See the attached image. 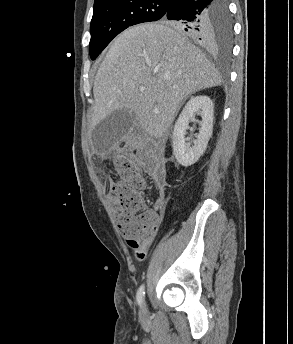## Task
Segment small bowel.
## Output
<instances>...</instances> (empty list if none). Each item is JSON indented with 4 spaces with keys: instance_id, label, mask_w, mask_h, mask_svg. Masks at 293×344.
<instances>
[{
    "instance_id": "1",
    "label": "small bowel",
    "mask_w": 293,
    "mask_h": 344,
    "mask_svg": "<svg viewBox=\"0 0 293 344\" xmlns=\"http://www.w3.org/2000/svg\"><path fill=\"white\" fill-rule=\"evenodd\" d=\"M165 204V199L163 196V193H160L157 199V202L155 204V207L157 209H161ZM152 237H141V238H137V239H129L127 241V246L131 249H133L135 257L142 261L148 251V248L150 247V245L152 244Z\"/></svg>"
}]
</instances>
